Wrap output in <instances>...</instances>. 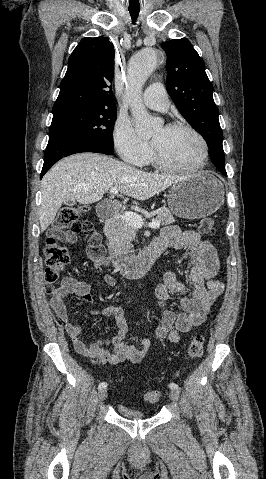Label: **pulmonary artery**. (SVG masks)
Instances as JSON below:
<instances>
[{
	"mask_svg": "<svg viewBox=\"0 0 266 479\" xmlns=\"http://www.w3.org/2000/svg\"><path fill=\"white\" fill-rule=\"evenodd\" d=\"M143 102L151 109L165 111L169 107V98L165 88L160 83L148 86L143 95Z\"/></svg>",
	"mask_w": 266,
	"mask_h": 479,
	"instance_id": "e3ab8cb5",
	"label": "pulmonary artery"
}]
</instances>
